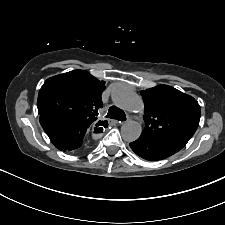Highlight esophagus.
<instances>
[{
  "mask_svg": "<svg viewBox=\"0 0 225 225\" xmlns=\"http://www.w3.org/2000/svg\"><path fill=\"white\" fill-rule=\"evenodd\" d=\"M121 122H119V121H117V120H112L111 121V124H114V125H116V124H120Z\"/></svg>",
  "mask_w": 225,
  "mask_h": 225,
  "instance_id": "1",
  "label": "esophagus"
}]
</instances>
